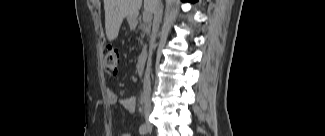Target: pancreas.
<instances>
[{
    "mask_svg": "<svg viewBox=\"0 0 325 136\" xmlns=\"http://www.w3.org/2000/svg\"><path fill=\"white\" fill-rule=\"evenodd\" d=\"M144 29H146L145 25H143L142 28H138L137 29V32L140 33L139 34V37L140 38H143L144 37V34H143V32L145 31ZM142 40H145V39L143 38Z\"/></svg>",
    "mask_w": 325,
    "mask_h": 136,
    "instance_id": "cf45deb5",
    "label": "pancreas"
}]
</instances>
